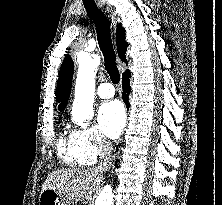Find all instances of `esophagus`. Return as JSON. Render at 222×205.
<instances>
[{
	"label": "esophagus",
	"instance_id": "esophagus-1",
	"mask_svg": "<svg viewBox=\"0 0 222 205\" xmlns=\"http://www.w3.org/2000/svg\"><path fill=\"white\" fill-rule=\"evenodd\" d=\"M106 11L109 13V15H110V17H111V19H112V22L115 23L114 13H112L108 7L106 8Z\"/></svg>",
	"mask_w": 222,
	"mask_h": 205
}]
</instances>
